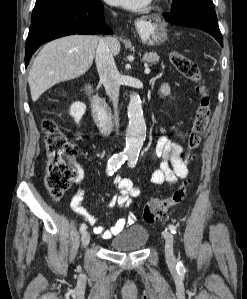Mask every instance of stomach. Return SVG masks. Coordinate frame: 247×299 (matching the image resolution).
I'll return each mask as SVG.
<instances>
[{
    "instance_id": "obj_1",
    "label": "stomach",
    "mask_w": 247,
    "mask_h": 299,
    "mask_svg": "<svg viewBox=\"0 0 247 299\" xmlns=\"http://www.w3.org/2000/svg\"><path fill=\"white\" fill-rule=\"evenodd\" d=\"M137 30L142 41L148 45H160L167 40V30L163 23L141 20L137 23Z\"/></svg>"
}]
</instances>
